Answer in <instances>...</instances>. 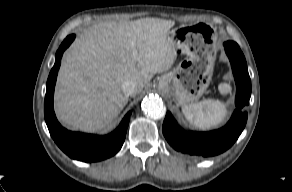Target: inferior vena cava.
Listing matches in <instances>:
<instances>
[{
    "instance_id": "obj_1",
    "label": "inferior vena cava",
    "mask_w": 292,
    "mask_h": 192,
    "mask_svg": "<svg viewBox=\"0 0 292 192\" xmlns=\"http://www.w3.org/2000/svg\"><path fill=\"white\" fill-rule=\"evenodd\" d=\"M121 88L126 96H131L135 92V83L132 80H125Z\"/></svg>"
}]
</instances>
